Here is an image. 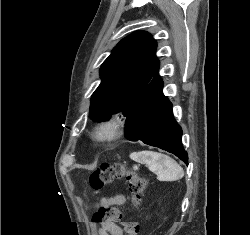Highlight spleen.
<instances>
[{
  "label": "spleen",
  "instance_id": "1",
  "mask_svg": "<svg viewBox=\"0 0 250 235\" xmlns=\"http://www.w3.org/2000/svg\"><path fill=\"white\" fill-rule=\"evenodd\" d=\"M130 158L141 164H146L160 181H176L184 176L183 168L174 159L165 154L141 151L131 154Z\"/></svg>",
  "mask_w": 250,
  "mask_h": 235
}]
</instances>
